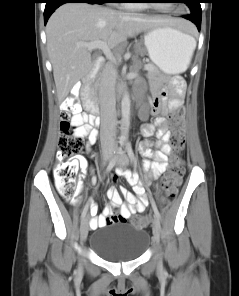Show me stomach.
Returning a JSON list of instances; mask_svg holds the SVG:
<instances>
[{"instance_id":"0dacf381","label":"stomach","mask_w":239,"mask_h":296,"mask_svg":"<svg viewBox=\"0 0 239 296\" xmlns=\"http://www.w3.org/2000/svg\"><path fill=\"white\" fill-rule=\"evenodd\" d=\"M192 37L168 25L150 29L144 44L151 61L165 74L186 70L191 53Z\"/></svg>"}]
</instances>
